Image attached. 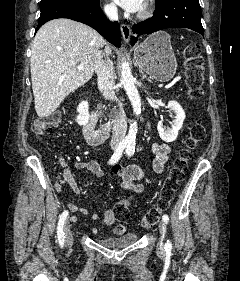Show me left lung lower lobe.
Wrapping results in <instances>:
<instances>
[{
  "mask_svg": "<svg viewBox=\"0 0 240 281\" xmlns=\"http://www.w3.org/2000/svg\"><path fill=\"white\" fill-rule=\"evenodd\" d=\"M200 12L199 0H160L153 17L133 26L131 45L140 36L165 28H189L204 36Z\"/></svg>",
  "mask_w": 240,
  "mask_h": 281,
  "instance_id": "left-lung-lower-lobe-1",
  "label": "left lung lower lobe"
}]
</instances>
